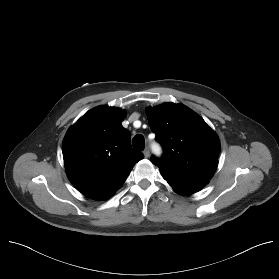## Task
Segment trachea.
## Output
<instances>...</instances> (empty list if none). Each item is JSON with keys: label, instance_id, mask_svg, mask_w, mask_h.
I'll use <instances>...</instances> for the list:
<instances>
[{"label": "trachea", "instance_id": "1", "mask_svg": "<svg viewBox=\"0 0 279 279\" xmlns=\"http://www.w3.org/2000/svg\"><path fill=\"white\" fill-rule=\"evenodd\" d=\"M132 145L135 149L142 151L145 146L144 137L142 135H136L132 139Z\"/></svg>", "mask_w": 279, "mask_h": 279}]
</instances>
